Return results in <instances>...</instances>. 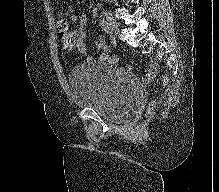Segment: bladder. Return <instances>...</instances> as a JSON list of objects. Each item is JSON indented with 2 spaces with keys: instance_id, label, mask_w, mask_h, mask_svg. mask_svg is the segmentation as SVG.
<instances>
[{
  "instance_id": "1",
  "label": "bladder",
  "mask_w": 219,
  "mask_h": 192,
  "mask_svg": "<svg viewBox=\"0 0 219 192\" xmlns=\"http://www.w3.org/2000/svg\"><path fill=\"white\" fill-rule=\"evenodd\" d=\"M67 82L76 105L94 110L112 122L132 119L142 105V94L126 73L108 62L76 65L68 73Z\"/></svg>"
}]
</instances>
